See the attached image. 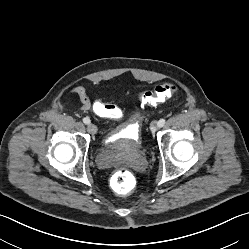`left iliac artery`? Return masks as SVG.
Listing matches in <instances>:
<instances>
[{
    "label": "left iliac artery",
    "mask_w": 249,
    "mask_h": 249,
    "mask_svg": "<svg viewBox=\"0 0 249 249\" xmlns=\"http://www.w3.org/2000/svg\"><path fill=\"white\" fill-rule=\"evenodd\" d=\"M164 124H165V119H160V120L158 121V126H159V127H162Z\"/></svg>",
    "instance_id": "44dca946"
}]
</instances>
